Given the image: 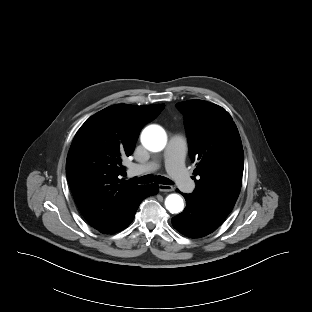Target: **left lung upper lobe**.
Listing matches in <instances>:
<instances>
[{
	"mask_svg": "<svg viewBox=\"0 0 312 312\" xmlns=\"http://www.w3.org/2000/svg\"><path fill=\"white\" fill-rule=\"evenodd\" d=\"M184 114L196 188L191 197L228 215L238 198L244 168L240 135L230 114L203 100L176 104Z\"/></svg>",
	"mask_w": 312,
	"mask_h": 312,
	"instance_id": "left-lung-upper-lobe-1",
	"label": "left lung upper lobe"
}]
</instances>
